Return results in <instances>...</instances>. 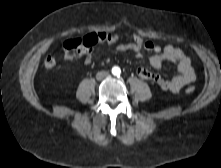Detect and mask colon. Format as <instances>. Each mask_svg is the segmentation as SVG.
<instances>
[{"label":"colon","mask_w":221,"mask_h":168,"mask_svg":"<svg viewBox=\"0 0 221 168\" xmlns=\"http://www.w3.org/2000/svg\"><path fill=\"white\" fill-rule=\"evenodd\" d=\"M125 39L123 32H116L109 34L108 32H101L100 34H89L84 37L69 39L64 43V58L71 60L88 53L98 43L103 42L107 46L118 45ZM129 40L133 45L143 47L146 44V39L142 38L140 34L131 33ZM56 65V60L52 56H48L44 61V66L47 69H52ZM195 91L193 86L186 89L188 94Z\"/></svg>","instance_id":"colon-1"}]
</instances>
